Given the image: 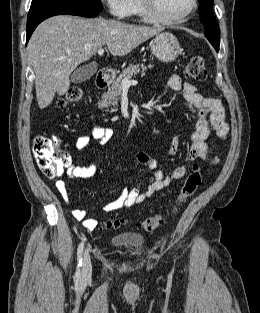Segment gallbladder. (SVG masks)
<instances>
[{"instance_id": "1", "label": "gallbladder", "mask_w": 260, "mask_h": 313, "mask_svg": "<svg viewBox=\"0 0 260 313\" xmlns=\"http://www.w3.org/2000/svg\"><path fill=\"white\" fill-rule=\"evenodd\" d=\"M97 71V66L95 64L89 66H82L76 69L71 75V82L74 84L82 83L89 80Z\"/></svg>"}]
</instances>
